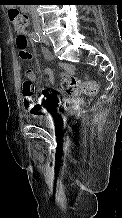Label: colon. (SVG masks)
Segmentation results:
<instances>
[{
	"instance_id": "colon-1",
	"label": "colon",
	"mask_w": 122,
	"mask_h": 218,
	"mask_svg": "<svg viewBox=\"0 0 122 218\" xmlns=\"http://www.w3.org/2000/svg\"><path fill=\"white\" fill-rule=\"evenodd\" d=\"M10 21L12 22L16 31L22 33L29 23V18L26 14H23L17 9H10L8 12ZM17 47L20 50V57L23 60H28L30 58V53L27 51V40L21 36L17 37L16 40ZM24 80L22 83L23 94L25 96L24 107L31 113L36 114V108L33 97V82L29 78V72H24ZM63 87L65 91L70 95H80L81 93H86L92 95L96 93L97 87L93 81L82 82L80 79L74 77H68L63 79Z\"/></svg>"
}]
</instances>
